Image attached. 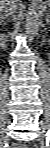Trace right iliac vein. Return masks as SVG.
<instances>
[{
	"mask_svg": "<svg viewBox=\"0 0 50 148\" xmlns=\"http://www.w3.org/2000/svg\"><path fill=\"white\" fill-rule=\"evenodd\" d=\"M6 141H7L6 135L5 134H2L1 135V138H0L1 147L4 146V144L6 143Z\"/></svg>",
	"mask_w": 50,
	"mask_h": 148,
	"instance_id": "1",
	"label": "right iliac vein"
}]
</instances>
